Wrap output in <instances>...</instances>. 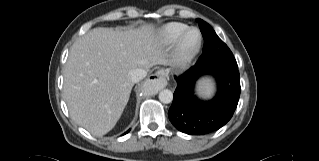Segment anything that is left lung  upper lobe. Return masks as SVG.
I'll return each instance as SVG.
<instances>
[{
  "label": "left lung upper lobe",
  "mask_w": 319,
  "mask_h": 161,
  "mask_svg": "<svg viewBox=\"0 0 319 161\" xmlns=\"http://www.w3.org/2000/svg\"><path fill=\"white\" fill-rule=\"evenodd\" d=\"M197 22L204 38L203 53L197 64L206 65L218 62L237 64L231 50L217 36L213 28L201 19H197Z\"/></svg>",
  "instance_id": "obj_1"
}]
</instances>
